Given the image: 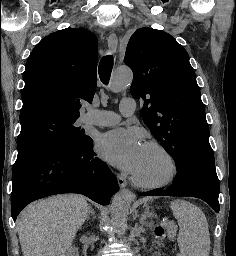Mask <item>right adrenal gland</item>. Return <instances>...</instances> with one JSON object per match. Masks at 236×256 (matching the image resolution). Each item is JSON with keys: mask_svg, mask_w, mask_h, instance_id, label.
Returning <instances> with one entry per match:
<instances>
[{"mask_svg": "<svg viewBox=\"0 0 236 256\" xmlns=\"http://www.w3.org/2000/svg\"><path fill=\"white\" fill-rule=\"evenodd\" d=\"M90 216H94V218H95V214H94V212H93L91 206H90V212H89V214H88V216H87V220H90Z\"/></svg>", "mask_w": 236, "mask_h": 256, "instance_id": "1", "label": "right adrenal gland"}]
</instances>
